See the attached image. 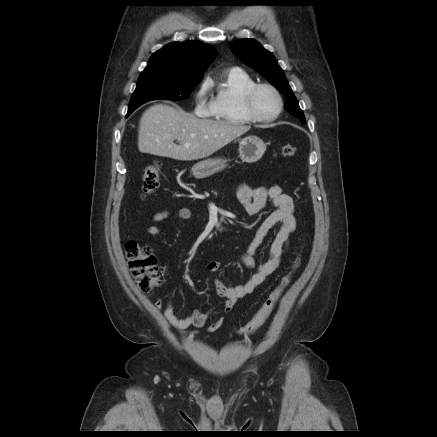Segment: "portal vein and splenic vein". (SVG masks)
I'll list each match as a JSON object with an SVG mask.
<instances>
[{
	"instance_id": "18ae733b",
	"label": "portal vein and splenic vein",
	"mask_w": 437,
	"mask_h": 437,
	"mask_svg": "<svg viewBox=\"0 0 437 437\" xmlns=\"http://www.w3.org/2000/svg\"><path fill=\"white\" fill-rule=\"evenodd\" d=\"M185 146H186V147H188V146H189V144H185Z\"/></svg>"
}]
</instances>
